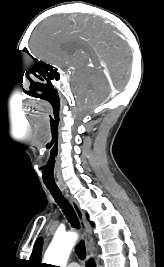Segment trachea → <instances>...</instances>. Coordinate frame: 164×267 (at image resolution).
<instances>
[{"label": "trachea", "mask_w": 164, "mask_h": 267, "mask_svg": "<svg viewBox=\"0 0 164 267\" xmlns=\"http://www.w3.org/2000/svg\"><path fill=\"white\" fill-rule=\"evenodd\" d=\"M48 190L54 197L55 201L59 205V207L62 209L64 215L68 219L69 223L72 225L74 228H79V221L76 216L75 211L73 210L72 206L69 204V202L64 198L62 195L61 191L57 187H52V186H47ZM75 252L77 256L83 260L86 256L85 253V246H84V241L81 240L75 248Z\"/></svg>", "instance_id": "obj_1"}]
</instances>
